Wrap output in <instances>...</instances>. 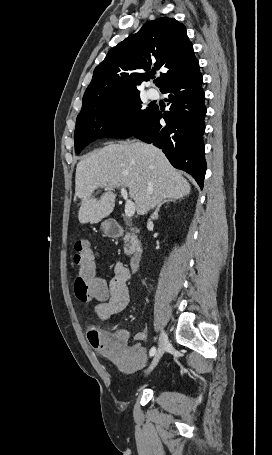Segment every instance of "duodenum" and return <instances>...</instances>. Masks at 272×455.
Returning <instances> with one entry per match:
<instances>
[{
    "mask_svg": "<svg viewBox=\"0 0 272 455\" xmlns=\"http://www.w3.org/2000/svg\"><path fill=\"white\" fill-rule=\"evenodd\" d=\"M107 232L111 237H121L124 234L123 227L117 222H111L107 227ZM132 233H137L136 228L131 229ZM142 258V251L139 247H135L129 257V266L133 272H136L139 269Z\"/></svg>",
    "mask_w": 272,
    "mask_h": 455,
    "instance_id": "obj_1",
    "label": "duodenum"
}]
</instances>
